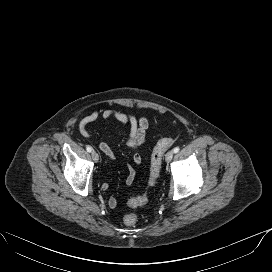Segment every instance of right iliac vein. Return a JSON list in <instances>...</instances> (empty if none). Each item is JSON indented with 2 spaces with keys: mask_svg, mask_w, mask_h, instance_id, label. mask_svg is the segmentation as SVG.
Here are the masks:
<instances>
[{
  "mask_svg": "<svg viewBox=\"0 0 272 272\" xmlns=\"http://www.w3.org/2000/svg\"><path fill=\"white\" fill-rule=\"evenodd\" d=\"M91 155H92V158H93V160H94L95 162H98V161H99V155H98L97 152L92 151Z\"/></svg>",
  "mask_w": 272,
  "mask_h": 272,
  "instance_id": "63e3f726",
  "label": "right iliac vein"
}]
</instances>
